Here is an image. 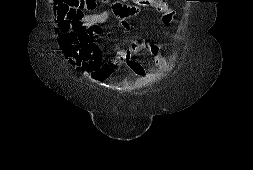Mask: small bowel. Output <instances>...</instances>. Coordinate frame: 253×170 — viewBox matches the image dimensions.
<instances>
[{"instance_id":"small-bowel-1","label":"small bowel","mask_w":253,"mask_h":170,"mask_svg":"<svg viewBox=\"0 0 253 170\" xmlns=\"http://www.w3.org/2000/svg\"><path fill=\"white\" fill-rule=\"evenodd\" d=\"M109 2V0H102ZM125 1V0H124ZM96 7V1H92ZM147 4L141 0H133L132 5L114 3L109 10L93 13H83L69 21H60L56 25V33L62 45V54L68 63L87 75L94 81H102L108 78L119 65L124 64L132 72L139 76L146 74V69L138 56L144 51H149L158 68L169 66V60L160 51V45L152 44L146 39H135L128 48H116L115 58L103 62L100 47L98 45L99 32L102 25L107 23L111 16L119 21L123 31H129V19L139 14L141 6ZM163 14V20L170 23L173 19V11L166 2L151 5Z\"/></svg>"}]
</instances>
